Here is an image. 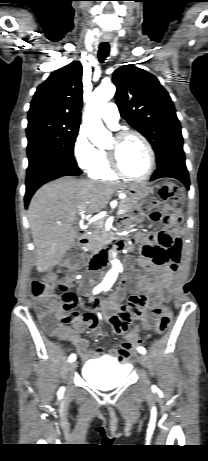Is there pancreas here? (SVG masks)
<instances>
[{"label":"pancreas","mask_w":208,"mask_h":461,"mask_svg":"<svg viewBox=\"0 0 208 461\" xmlns=\"http://www.w3.org/2000/svg\"><path fill=\"white\" fill-rule=\"evenodd\" d=\"M137 201L132 198H126L120 201L119 209H124L125 213L132 212L136 208ZM96 229L90 237L89 243L86 247L90 250L97 249L106 244L108 237L103 229V221L95 225Z\"/></svg>","instance_id":"1"}]
</instances>
